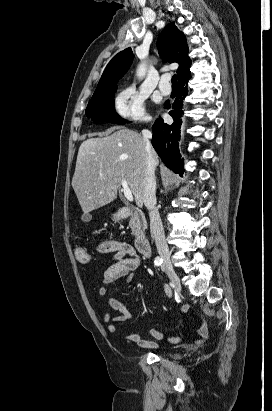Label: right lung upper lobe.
I'll list each match as a JSON object with an SVG mask.
<instances>
[{
	"label": "right lung upper lobe",
	"mask_w": 272,
	"mask_h": 411,
	"mask_svg": "<svg viewBox=\"0 0 272 411\" xmlns=\"http://www.w3.org/2000/svg\"><path fill=\"white\" fill-rule=\"evenodd\" d=\"M157 47L162 59L169 62H177L178 82L190 78L191 60L188 57V46L183 32L179 31L174 23L168 24L159 35ZM134 58L131 48L119 52L107 65L97 88H105L118 80L127 72Z\"/></svg>",
	"instance_id": "obj_1"
}]
</instances>
